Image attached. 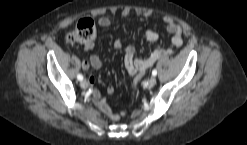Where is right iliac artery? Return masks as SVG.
Masks as SVG:
<instances>
[{"label":"right iliac artery","mask_w":247,"mask_h":145,"mask_svg":"<svg viewBox=\"0 0 247 145\" xmlns=\"http://www.w3.org/2000/svg\"><path fill=\"white\" fill-rule=\"evenodd\" d=\"M77 79L80 80V81H82L83 80V76L81 74H78L77 75Z\"/></svg>","instance_id":"right-iliac-artery-1"}]
</instances>
